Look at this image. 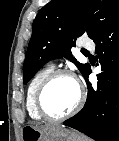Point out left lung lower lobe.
I'll return each mask as SVG.
<instances>
[{
	"label": "left lung lower lobe",
	"mask_w": 119,
	"mask_h": 141,
	"mask_svg": "<svg viewBox=\"0 0 119 141\" xmlns=\"http://www.w3.org/2000/svg\"><path fill=\"white\" fill-rule=\"evenodd\" d=\"M102 66L98 83L88 81L91 68L84 78L88 96L83 109L64 122L96 141H119V9L91 37ZM98 65V64H97Z\"/></svg>",
	"instance_id": "left-lung-lower-lobe-1"
}]
</instances>
